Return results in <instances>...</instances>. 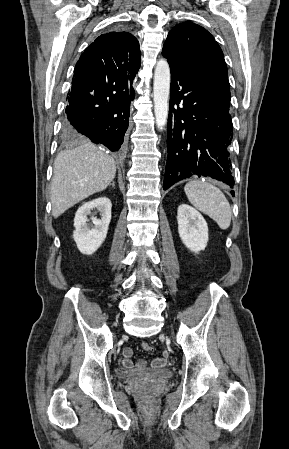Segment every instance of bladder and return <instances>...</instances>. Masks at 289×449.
I'll return each instance as SVG.
<instances>
[{
  "mask_svg": "<svg viewBox=\"0 0 289 449\" xmlns=\"http://www.w3.org/2000/svg\"><path fill=\"white\" fill-rule=\"evenodd\" d=\"M173 376V370L169 368L164 369H134V370H122L117 373L119 380H137L142 378H154V379H168Z\"/></svg>",
  "mask_w": 289,
  "mask_h": 449,
  "instance_id": "obj_1",
  "label": "bladder"
}]
</instances>
